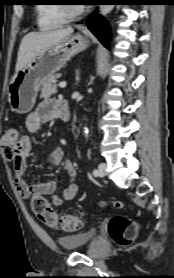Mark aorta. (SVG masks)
I'll return each instance as SVG.
<instances>
[{
    "mask_svg": "<svg viewBox=\"0 0 174 278\" xmlns=\"http://www.w3.org/2000/svg\"><path fill=\"white\" fill-rule=\"evenodd\" d=\"M113 9V5H100V12L103 15L108 14ZM88 130H85V135L87 136Z\"/></svg>",
    "mask_w": 174,
    "mask_h": 278,
    "instance_id": "762f6f07",
    "label": "aorta"
}]
</instances>
